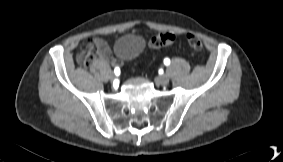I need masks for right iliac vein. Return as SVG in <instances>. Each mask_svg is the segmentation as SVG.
<instances>
[{"instance_id": "63e3f726", "label": "right iliac vein", "mask_w": 283, "mask_h": 162, "mask_svg": "<svg viewBox=\"0 0 283 162\" xmlns=\"http://www.w3.org/2000/svg\"><path fill=\"white\" fill-rule=\"evenodd\" d=\"M116 77H117V76L113 73V74H111L110 79L113 81Z\"/></svg>"}]
</instances>
